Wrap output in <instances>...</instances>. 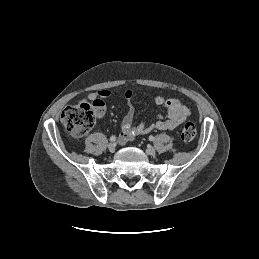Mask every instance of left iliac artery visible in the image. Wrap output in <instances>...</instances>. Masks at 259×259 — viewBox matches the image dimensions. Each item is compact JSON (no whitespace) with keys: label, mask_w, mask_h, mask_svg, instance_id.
<instances>
[{"label":"left iliac artery","mask_w":259,"mask_h":259,"mask_svg":"<svg viewBox=\"0 0 259 259\" xmlns=\"http://www.w3.org/2000/svg\"><path fill=\"white\" fill-rule=\"evenodd\" d=\"M154 139H155L154 136H152V135L149 136V140H150V141H154Z\"/></svg>","instance_id":"44dca946"}]
</instances>
